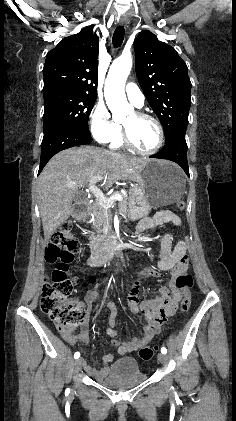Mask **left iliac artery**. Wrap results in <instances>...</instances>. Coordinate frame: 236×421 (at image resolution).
Segmentation results:
<instances>
[{
	"label": "left iliac artery",
	"mask_w": 236,
	"mask_h": 421,
	"mask_svg": "<svg viewBox=\"0 0 236 421\" xmlns=\"http://www.w3.org/2000/svg\"><path fill=\"white\" fill-rule=\"evenodd\" d=\"M161 353L166 354L167 353V349L165 347L161 348Z\"/></svg>",
	"instance_id": "44dca946"
}]
</instances>
